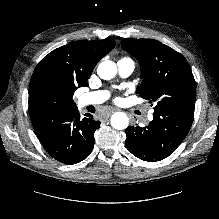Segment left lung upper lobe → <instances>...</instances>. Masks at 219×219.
Listing matches in <instances>:
<instances>
[{
  "label": "left lung upper lobe",
  "instance_id": "obj_1",
  "mask_svg": "<svg viewBox=\"0 0 219 219\" xmlns=\"http://www.w3.org/2000/svg\"><path fill=\"white\" fill-rule=\"evenodd\" d=\"M122 47L141 65L142 83L136 92L154 110L194 105L196 83L186 59L174 49L151 39H123Z\"/></svg>",
  "mask_w": 219,
  "mask_h": 219
}]
</instances>
